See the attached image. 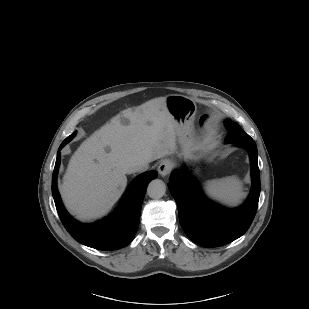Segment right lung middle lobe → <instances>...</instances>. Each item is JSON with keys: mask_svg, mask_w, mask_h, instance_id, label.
Listing matches in <instances>:
<instances>
[{"mask_svg": "<svg viewBox=\"0 0 309 309\" xmlns=\"http://www.w3.org/2000/svg\"><path fill=\"white\" fill-rule=\"evenodd\" d=\"M76 132H74L72 135H70L69 137L66 138V140L70 141L74 136H75Z\"/></svg>", "mask_w": 309, "mask_h": 309, "instance_id": "obj_1", "label": "right lung middle lobe"}]
</instances>
